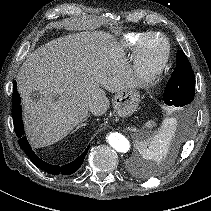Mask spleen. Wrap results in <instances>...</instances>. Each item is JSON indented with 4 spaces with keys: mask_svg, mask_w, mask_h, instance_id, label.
<instances>
[{
    "mask_svg": "<svg viewBox=\"0 0 211 211\" xmlns=\"http://www.w3.org/2000/svg\"><path fill=\"white\" fill-rule=\"evenodd\" d=\"M154 125H155V122H154L153 120H150V121H148V122L145 124V126L148 127V128H151V127H153Z\"/></svg>",
    "mask_w": 211,
    "mask_h": 211,
    "instance_id": "3e777b00",
    "label": "spleen"
}]
</instances>
